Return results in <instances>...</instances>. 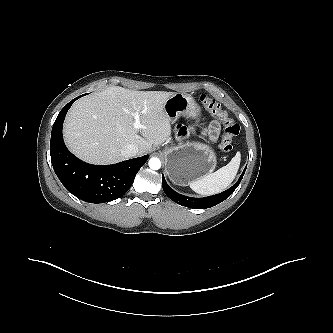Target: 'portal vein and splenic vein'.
Here are the masks:
<instances>
[{
	"instance_id": "obj_1",
	"label": "portal vein and splenic vein",
	"mask_w": 333,
	"mask_h": 333,
	"mask_svg": "<svg viewBox=\"0 0 333 333\" xmlns=\"http://www.w3.org/2000/svg\"><path fill=\"white\" fill-rule=\"evenodd\" d=\"M134 128L135 129H139L142 127L141 123H140V117H139V112H135L134 113Z\"/></svg>"
}]
</instances>
